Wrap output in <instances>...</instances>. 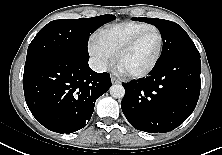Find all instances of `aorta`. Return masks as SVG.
<instances>
[{
    "label": "aorta",
    "instance_id": "762f6f07",
    "mask_svg": "<svg viewBox=\"0 0 222 155\" xmlns=\"http://www.w3.org/2000/svg\"><path fill=\"white\" fill-rule=\"evenodd\" d=\"M110 94L113 98L120 99L124 97L125 89L122 85L115 84L111 86Z\"/></svg>",
    "mask_w": 222,
    "mask_h": 155
}]
</instances>
